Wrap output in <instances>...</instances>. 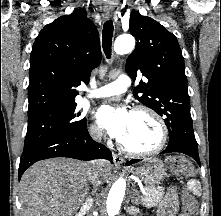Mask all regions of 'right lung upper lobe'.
I'll use <instances>...</instances> for the list:
<instances>
[{
    "mask_svg": "<svg viewBox=\"0 0 221 216\" xmlns=\"http://www.w3.org/2000/svg\"><path fill=\"white\" fill-rule=\"evenodd\" d=\"M101 58L98 30L83 8L46 25L31 52L28 115L76 104L74 88L89 82Z\"/></svg>",
    "mask_w": 221,
    "mask_h": 216,
    "instance_id": "obj_1",
    "label": "right lung upper lobe"
}]
</instances>
